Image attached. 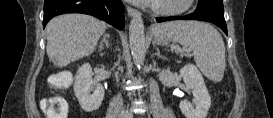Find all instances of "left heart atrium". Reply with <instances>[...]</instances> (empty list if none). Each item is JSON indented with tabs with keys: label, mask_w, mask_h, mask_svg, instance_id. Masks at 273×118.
Masks as SVG:
<instances>
[{
	"label": "left heart atrium",
	"mask_w": 273,
	"mask_h": 118,
	"mask_svg": "<svg viewBox=\"0 0 273 118\" xmlns=\"http://www.w3.org/2000/svg\"><path fill=\"white\" fill-rule=\"evenodd\" d=\"M137 4H143V5H155L159 2V0H132Z\"/></svg>",
	"instance_id": "1"
}]
</instances>
